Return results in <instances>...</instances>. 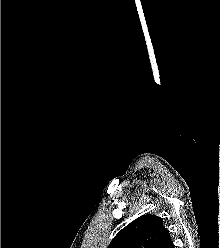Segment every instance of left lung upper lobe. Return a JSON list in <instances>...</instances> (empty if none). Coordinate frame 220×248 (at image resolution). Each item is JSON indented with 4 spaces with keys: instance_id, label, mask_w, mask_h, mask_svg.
Masks as SVG:
<instances>
[{
    "instance_id": "1",
    "label": "left lung upper lobe",
    "mask_w": 220,
    "mask_h": 248,
    "mask_svg": "<svg viewBox=\"0 0 220 248\" xmlns=\"http://www.w3.org/2000/svg\"><path fill=\"white\" fill-rule=\"evenodd\" d=\"M170 233L160 217L143 215L124 227L107 248H169Z\"/></svg>"
}]
</instances>
